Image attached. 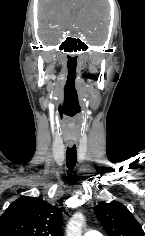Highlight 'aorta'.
Wrapping results in <instances>:
<instances>
[{
	"label": "aorta",
	"instance_id": "762f6f07",
	"mask_svg": "<svg viewBox=\"0 0 145 236\" xmlns=\"http://www.w3.org/2000/svg\"><path fill=\"white\" fill-rule=\"evenodd\" d=\"M83 223V214L81 212L75 213L68 223L67 236H82Z\"/></svg>",
	"mask_w": 145,
	"mask_h": 236
}]
</instances>
